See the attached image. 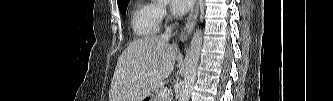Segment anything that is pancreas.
Instances as JSON below:
<instances>
[{
    "label": "pancreas",
    "instance_id": "pancreas-1",
    "mask_svg": "<svg viewBox=\"0 0 333 101\" xmlns=\"http://www.w3.org/2000/svg\"><path fill=\"white\" fill-rule=\"evenodd\" d=\"M170 100H171L170 95L167 96V97H165V98H162V97L160 96V91L157 93V95H156V97H155V99H154V101H170Z\"/></svg>",
    "mask_w": 333,
    "mask_h": 101
}]
</instances>
